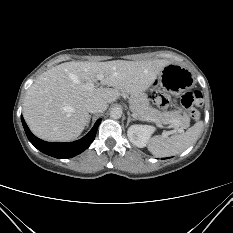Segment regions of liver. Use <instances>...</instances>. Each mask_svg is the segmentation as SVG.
<instances>
[{"label": "liver", "mask_w": 233, "mask_h": 233, "mask_svg": "<svg viewBox=\"0 0 233 233\" xmlns=\"http://www.w3.org/2000/svg\"><path fill=\"white\" fill-rule=\"evenodd\" d=\"M168 64L165 60L62 63L42 73L27 90L24 119L43 140H74L87 125L88 99L112 103L121 94L140 96ZM98 75L103 76L102 84L112 88L95 87Z\"/></svg>", "instance_id": "6515ba94"}]
</instances>
